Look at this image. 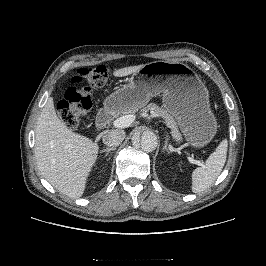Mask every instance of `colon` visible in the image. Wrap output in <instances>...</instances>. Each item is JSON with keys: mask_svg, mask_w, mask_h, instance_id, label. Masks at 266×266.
<instances>
[{"mask_svg": "<svg viewBox=\"0 0 266 266\" xmlns=\"http://www.w3.org/2000/svg\"><path fill=\"white\" fill-rule=\"evenodd\" d=\"M110 79V71L104 65L81 67L71 78L57 110L68 128H75L81 116L92 108V89L102 88Z\"/></svg>", "mask_w": 266, "mask_h": 266, "instance_id": "obj_1", "label": "colon"}]
</instances>
